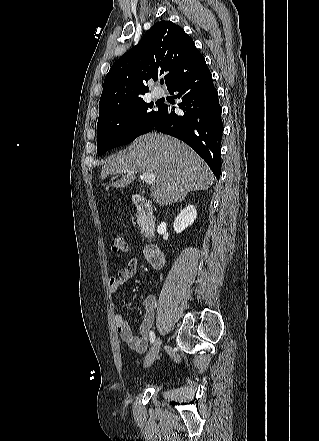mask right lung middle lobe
I'll return each instance as SVG.
<instances>
[{
	"label": "right lung middle lobe",
	"instance_id": "1",
	"mask_svg": "<svg viewBox=\"0 0 319 441\" xmlns=\"http://www.w3.org/2000/svg\"><path fill=\"white\" fill-rule=\"evenodd\" d=\"M153 103L143 99L112 106L99 111L97 123V153L105 154L116 146L133 141L154 128L161 109L151 111Z\"/></svg>",
	"mask_w": 319,
	"mask_h": 441
}]
</instances>
